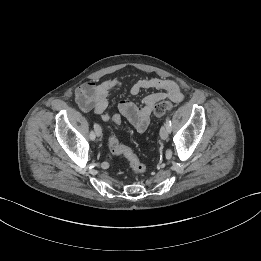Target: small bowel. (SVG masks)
<instances>
[{
  "label": "small bowel",
  "mask_w": 261,
  "mask_h": 261,
  "mask_svg": "<svg viewBox=\"0 0 261 261\" xmlns=\"http://www.w3.org/2000/svg\"><path fill=\"white\" fill-rule=\"evenodd\" d=\"M121 86L118 79H106L101 82H86L75 91L76 102L84 112H94L100 115L102 121L113 120L120 117L119 114L111 115L106 113L109 93ZM153 90L145 96L140 104L131 99H124L119 102L118 109L133 127L140 133L144 132L149 123L153 108L157 102L163 99H170L173 102L184 100L180 86L177 82L166 78L139 79L131 88V95H138L142 90Z\"/></svg>",
  "instance_id": "1"
}]
</instances>
